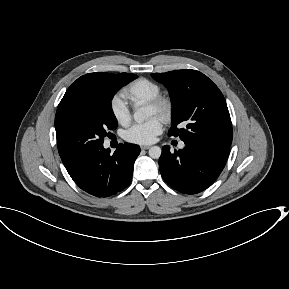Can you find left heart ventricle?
I'll list each match as a JSON object with an SVG mask.
<instances>
[{"label":"left heart ventricle","instance_id":"1","mask_svg":"<svg viewBox=\"0 0 289 289\" xmlns=\"http://www.w3.org/2000/svg\"><path fill=\"white\" fill-rule=\"evenodd\" d=\"M154 115H155V111L151 107H148L147 108V116L152 117Z\"/></svg>","mask_w":289,"mask_h":289}]
</instances>
